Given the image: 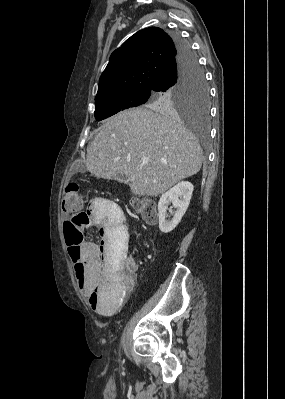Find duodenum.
I'll return each mask as SVG.
<instances>
[{"instance_id":"obj_1","label":"duodenum","mask_w":285,"mask_h":399,"mask_svg":"<svg viewBox=\"0 0 285 399\" xmlns=\"http://www.w3.org/2000/svg\"><path fill=\"white\" fill-rule=\"evenodd\" d=\"M108 218H109V215H108V214H105V215H104V219L107 220Z\"/></svg>"}]
</instances>
